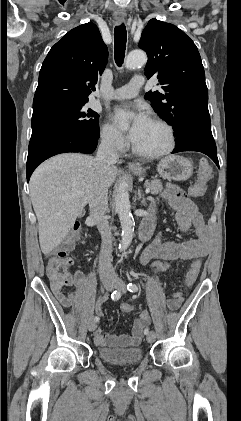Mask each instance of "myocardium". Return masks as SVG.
Instances as JSON below:
<instances>
[{
  "label": "myocardium",
  "instance_id": "obj_1",
  "mask_svg": "<svg viewBox=\"0 0 241 421\" xmlns=\"http://www.w3.org/2000/svg\"><path fill=\"white\" fill-rule=\"evenodd\" d=\"M149 121H151L155 124H158L165 129V131L167 133L166 146L159 151L145 152V151H142V150L138 149L133 144L132 145V151L137 156L142 157V158H146V159H157V158H161L163 156H166L167 154H169L170 152L173 151V149L175 148V145H176V136H175L174 128L167 121H165L164 119L159 118V117H152V118L149 119Z\"/></svg>",
  "mask_w": 241,
  "mask_h": 421
}]
</instances>
